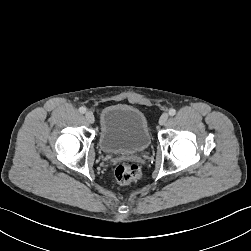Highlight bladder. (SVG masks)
Masks as SVG:
<instances>
[{
	"label": "bladder",
	"mask_w": 251,
	"mask_h": 251,
	"mask_svg": "<svg viewBox=\"0 0 251 251\" xmlns=\"http://www.w3.org/2000/svg\"><path fill=\"white\" fill-rule=\"evenodd\" d=\"M151 135L145 115L125 104L105 107L100 116L99 145L109 154H133L145 151Z\"/></svg>",
	"instance_id": "obj_1"
}]
</instances>
